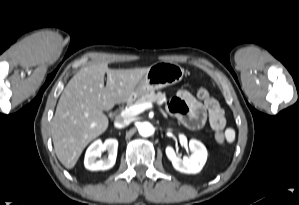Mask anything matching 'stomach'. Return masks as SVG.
<instances>
[{
    "label": "stomach",
    "mask_w": 299,
    "mask_h": 205,
    "mask_svg": "<svg viewBox=\"0 0 299 205\" xmlns=\"http://www.w3.org/2000/svg\"><path fill=\"white\" fill-rule=\"evenodd\" d=\"M184 69L175 63L157 62L151 65L130 98L154 92L182 80Z\"/></svg>",
    "instance_id": "1"
}]
</instances>
